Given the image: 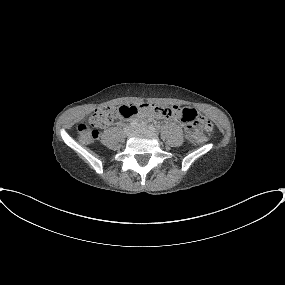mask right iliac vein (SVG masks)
Returning a JSON list of instances; mask_svg holds the SVG:
<instances>
[{
  "label": "right iliac vein",
  "mask_w": 285,
  "mask_h": 285,
  "mask_svg": "<svg viewBox=\"0 0 285 285\" xmlns=\"http://www.w3.org/2000/svg\"><path fill=\"white\" fill-rule=\"evenodd\" d=\"M132 130H133V128L130 127V126H128V127H126V128L124 129V133H125L126 135H129V134L132 132Z\"/></svg>",
  "instance_id": "obj_1"
}]
</instances>
